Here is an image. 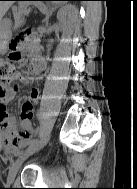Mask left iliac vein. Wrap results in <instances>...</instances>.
<instances>
[{
	"label": "left iliac vein",
	"mask_w": 137,
	"mask_h": 189,
	"mask_svg": "<svg viewBox=\"0 0 137 189\" xmlns=\"http://www.w3.org/2000/svg\"><path fill=\"white\" fill-rule=\"evenodd\" d=\"M50 136H46L39 144H35L32 148L27 149L21 156L18 157V159L12 164V166L9 169L8 177H7V184L11 185L13 184L16 175L22 165V163L31 155H33L35 152L43 148L47 142L49 141Z\"/></svg>",
	"instance_id": "4c4485c4"
}]
</instances>
